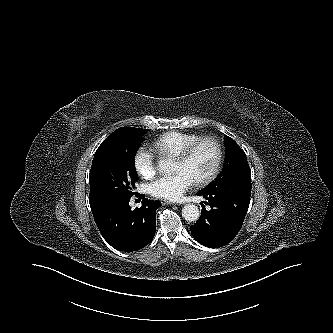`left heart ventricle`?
<instances>
[{"instance_id": "left-heart-ventricle-1", "label": "left heart ventricle", "mask_w": 333, "mask_h": 333, "mask_svg": "<svg viewBox=\"0 0 333 333\" xmlns=\"http://www.w3.org/2000/svg\"><path fill=\"white\" fill-rule=\"evenodd\" d=\"M216 161V149L210 142L198 146L193 155L185 162L175 160L174 172L185 171L194 181L205 178L212 170Z\"/></svg>"}]
</instances>
